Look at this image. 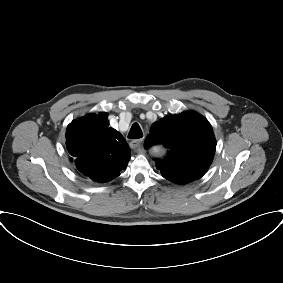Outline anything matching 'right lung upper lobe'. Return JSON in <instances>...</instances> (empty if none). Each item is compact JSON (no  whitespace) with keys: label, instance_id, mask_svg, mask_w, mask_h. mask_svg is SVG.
Returning <instances> with one entry per match:
<instances>
[{"label":"right lung upper lobe","instance_id":"obj_1","mask_svg":"<svg viewBox=\"0 0 283 283\" xmlns=\"http://www.w3.org/2000/svg\"><path fill=\"white\" fill-rule=\"evenodd\" d=\"M66 147L77 170L100 183L118 177L131 157L123 136L108 128L104 112L73 120L66 130Z\"/></svg>","mask_w":283,"mask_h":283}]
</instances>
